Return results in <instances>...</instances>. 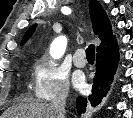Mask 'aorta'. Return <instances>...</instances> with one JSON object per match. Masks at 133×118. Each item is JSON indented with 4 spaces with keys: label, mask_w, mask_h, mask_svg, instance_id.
I'll list each match as a JSON object with an SVG mask.
<instances>
[{
    "label": "aorta",
    "mask_w": 133,
    "mask_h": 118,
    "mask_svg": "<svg viewBox=\"0 0 133 118\" xmlns=\"http://www.w3.org/2000/svg\"><path fill=\"white\" fill-rule=\"evenodd\" d=\"M67 46V39L64 36H60L55 40V47L52 52V56L54 58H60L66 49Z\"/></svg>",
    "instance_id": "aorta-1"
}]
</instances>
